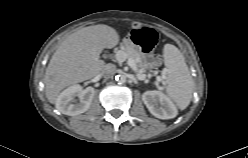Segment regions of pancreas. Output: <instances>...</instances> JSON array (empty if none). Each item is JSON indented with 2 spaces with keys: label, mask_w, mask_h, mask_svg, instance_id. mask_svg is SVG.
I'll return each mask as SVG.
<instances>
[{
  "label": "pancreas",
  "mask_w": 248,
  "mask_h": 158,
  "mask_svg": "<svg viewBox=\"0 0 248 158\" xmlns=\"http://www.w3.org/2000/svg\"><path fill=\"white\" fill-rule=\"evenodd\" d=\"M119 51L124 52L127 58H132L135 61L138 74L142 75L146 72L148 69V63L145 61L144 56L138 46L124 45ZM117 61L122 62L121 60ZM161 79H165V75H162Z\"/></svg>",
  "instance_id": "cf45deb5"
}]
</instances>
